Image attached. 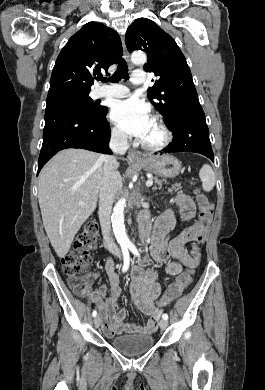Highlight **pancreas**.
<instances>
[{
  "instance_id": "pancreas-1",
  "label": "pancreas",
  "mask_w": 265,
  "mask_h": 390,
  "mask_svg": "<svg viewBox=\"0 0 265 390\" xmlns=\"http://www.w3.org/2000/svg\"><path fill=\"white\" fill-rule=\"evenodd\" d=\"M153 180L155 181V183L159 184V186H161V183H162V180H160L158 177H154ZM180 184H175L172 186V189H175V190H178L180 189ZM171 191V190H169Z\"/></svg>"
}]
</instances>
